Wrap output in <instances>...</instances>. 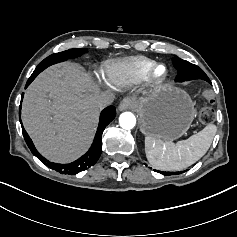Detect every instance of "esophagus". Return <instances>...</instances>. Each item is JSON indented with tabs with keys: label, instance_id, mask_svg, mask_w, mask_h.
<instances>
[{
	"label": "esophagus",
	"instance_id": "obj_1",
	"mask_svg": "<svg viewBox=\"0 0 237 237\" xmlns=\"http://www.w3.org/2000/svg\"><path fill=\"white\" fill-rule=\"evenodd\" d=\"M137 106V100L132 97L125 98L121 101L119 105V110L134 109Z\"/></svg>",
	"mask_w": 237,
	"mask_h": 237
}]
</instances>
